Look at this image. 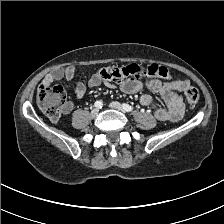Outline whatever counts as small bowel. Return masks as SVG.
<instances>
[{
  "label": "small bowel",
  "instance_id": "obj_1",
  "mask_svg": "<svg viewBox=\"0 0 224 224\" xmlns=\"http://www.w3.org/2000/svg\"><path fill=\"white\" fill-rule=\"evenodd\" d=\"M75 76V68L73 66H66L58 68L48 73L42 80L41 85H51L54 81L66 79L72 81ZM113 86L108 82H104L98 74H93L88 79L90 87H97L101 84ZM189 85L187 80H172L161 81L158 79H149L145 82L140 80H126L120 84V88L125 93H136L147 87L149 90L160 94L166 108L155 107L153 114L159 121L175 122L181 119L184 114V101L181 92H183ZM86 93V86L82 81L75 83V95L78 99L82 98ZM140 104L142 106H155V102L151 95L143 94L140 97ZM72 110V104L69 103L68 109L64 113H69Z\"/></svg>",
  "mask_w": 224,
  "mask_h": 224
}]
</instances>
